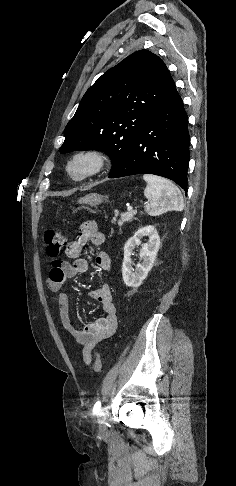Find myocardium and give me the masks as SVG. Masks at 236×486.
Returning <instances> with one entry per match:
<instances>
[{
	"label": "myocardium",
	"instance_id": "obj_1",
	"mask_svg": "<svg viewBox=\"0 0 236 486\" xmlns=\"http://www.w3.org/2000/svg\"><path fill=\"white\" fill-rule=\"evenodd\" d=\"M82 160L88 161L90 166L85 172L75 174L73 172V167L78 161ZM108 164L109 156L104 150L98 148H87L75 152L68 159L65 166V172L68 178H70L72 181L82 182L96 177L104 172L108 167Z\"/></svg>",
	"mask_w": 236,
	"mask_h": 486
}]
</instances>
